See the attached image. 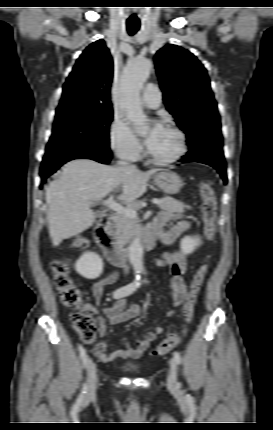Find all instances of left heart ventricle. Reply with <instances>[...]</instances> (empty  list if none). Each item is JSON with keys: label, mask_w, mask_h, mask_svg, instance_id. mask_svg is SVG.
<instances>
[{"label": "left heart ventricle", "mask_w": 273, "mask_h": 430, "mask_svg": "<svg viewBox=\"0 0 273 430\" xmlns=\"http://www.w3.org/2000/svg\"><path fill=\"white\" fill-rule=\"evenodd\" d=\"M150 152L158 158H169L178 150V137L175 133L162 127Z\"/></svg>", "instance_id": "b2bd125f"}]
</instances>
